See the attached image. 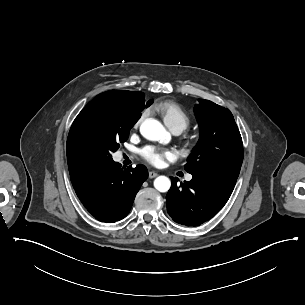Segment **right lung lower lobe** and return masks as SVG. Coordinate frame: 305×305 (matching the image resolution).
Instances as JSON below:
<instances>
[{"label": "right lung lower lobe", "instance_id": "right-lung-lower-lobe-1", "mask_svg": "<svg viewBox=\"0 0 305 305\" xmlns=\"http://www.w3.org/2000/svg\"><path fill=\"white\" fill-rule=\"evenodd\" d=\"M72 185L86 209L99 221L114 223L126 217L148 171L143 165L120 169L112 162L102 167L84 165L69 171Z\"/></svg>", "mask_w": 305, "mask_h": 305}]
</instances>
